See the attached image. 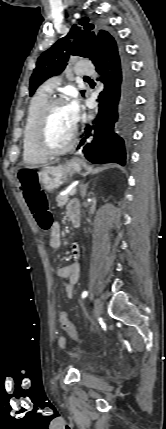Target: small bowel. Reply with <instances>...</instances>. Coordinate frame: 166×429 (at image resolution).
<instances>
[{
  "label": "small bowel",
  "instance_id": "c3829d8e",
  "mask_svg": "<svg viewBox=\"0 0 166 429\" xmlns=\"http://www.w3.org/2000/svg\"><path fill=\"white\" fill-rule=\"evenodd\" d=\"M73 212L79 213V205L76 201H72L67 206V213L70 216ZM49 245L53 249H59L61 246V231L58 223H54L50 233ZM72 253L74 258L79 256V248L77 244L72 246ZM56 275L63 280L65 293L68 298H73L74 286L79 280L80 276V265L77 261L70 265L59 267L56 270ZM58 343L60 346L67 344L66 339L63 336L58 337Z\"/></svg>",
  "mask_w": 166,
  "mask_h": 429
}]
</instances>
